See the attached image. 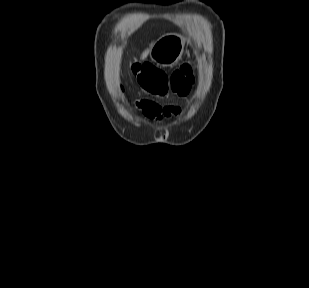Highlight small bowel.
Masks as SVG:
<instances>
[{
	"mask_svg": "<svg viewBox=\"0 0 309 288\" xmlns=\"http://www.w3.org/2000/svg\"><path fill=\"white\" fill-rule=\"evenodd\" d=\"M143 69L141 72H143ZM139 107L143 113L150 118H160L165 116H170L177 114L179 112L178 108L175 107H160L152 101H141Z\"/></svg>",
	"mask_w": 309,
	"mask_h": 288,
	"instance_id": "c3829d8e",
	"label": "small bowel"
}]
</instances>
